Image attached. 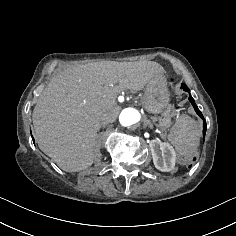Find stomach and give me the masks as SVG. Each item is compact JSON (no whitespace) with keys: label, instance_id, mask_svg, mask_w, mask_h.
<instances>
[{"label":"stomach","instance_id":"stomach-1","mask_svg":"<svg viewBox=\"0 0 236 236\" xmlns=\"http://www.w3.org/2000/svg\"><path fill=\"white\" fill-rule=\"evenodd\" d=\"M170 94L164 77L155 78L146 85L143 95V105L151 113H160L167 107Z\"/></svg>","mask_w":236,"mask_h":236}]
</instances>
